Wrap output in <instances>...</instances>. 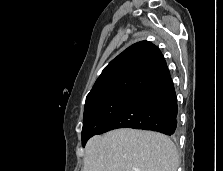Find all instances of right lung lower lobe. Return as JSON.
Returning a JSON list of instances; mask_svg holds the SVG:
<instances>
[{
  "label": "right lung lower lobe",
  "mask_w": 223,
  "mask_h": 171,
  "mask_svg": "<svg viewBox=\"0 0 223 171\" xmlns=\"http://www.w3.org/2000/svg\"><path fill=\"white\" fill-rule=\"evenodd\" d=\"M177 98L170 74L139 93L98 134L117 128L177 133Z\"/></svg>",
  "instance_id": "right-lung-lower-lobe-1"
}]
</instances>
